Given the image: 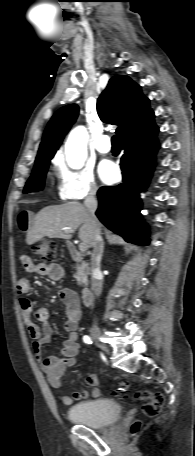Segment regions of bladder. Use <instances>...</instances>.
<instances>
[{
	"mask_svg": "<svg viewBox=\"0 0 195 456\" xmlns=\"http://www.w3.org/2000/svg\"><path fill=\"white\" fill-rule=\"evenodd\" d=\"M122 416L121 405L111 399H95L71 406L67 411L70 421L91 428L108 427Z\"/></svg>",
	"mask_w": 195,
	"mask_h": 456,
	"instance_id": "bladder-1",
	"label": "bladder"
}]
</instances>
